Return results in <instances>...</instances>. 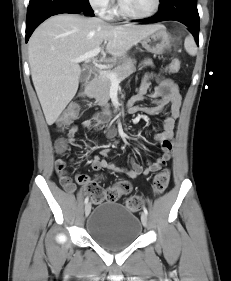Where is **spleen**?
I'll use <instances>...</instances> for the list:
<instances>
[{"mask_svg":"<svg viewBox=\"0 0 231 281\" xmlns=\"http://www.w3.org/2000/svg\"><path fill=\"white\" fill-rule=\"evenodd\" d=\"M184 47L189 55L195 56L197 54V46L193 37L189 36L185 39Z\"/></svg>","mask_w":231,"mask_h":281,"instance_id":"obj_1","label":"spleen"}]
</instances>
